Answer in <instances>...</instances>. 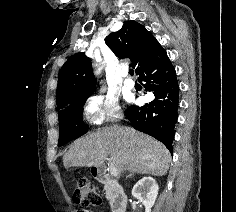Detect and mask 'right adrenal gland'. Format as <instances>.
I'll use <instances>...</instances> for the list:
<instances>
[{"instance_id": "2a0ac1e0", "label": "right adrenal gland", "mask_w": 236, "mask_h": 212, "mask_svg": "<svg viewBox=\"0 0 236 212\" xmlns=\"http://www.w3.org/2000/svg\"><path fill=\"white\" fill-rule=\"evenodd\" d=\"M134 175H135L134 173L128 175V176H127V179H128V178H132V177H134Z\"/></svg>"}]
</instances>
